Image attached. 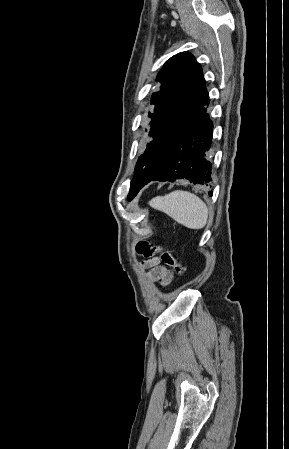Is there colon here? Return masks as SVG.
I'll list each match as a JSON object with an SVG mask.
<instances>
[{"label":"colon","instance_id":"obj_1","mask_svg":"<svg viewBox=\"0 0 289 449\" xmlns=\"http://www.w3.org/2000/svg\"><path fill=\"white\" fill-rule=\"evenodd\" d=\"M136 252L142 257H151L159 254L160 260L165 265L172 268L175 273L178 275H183L185 273L184 266L179 263L169 251L163 250L160 246H155L146 240H141L136 244Z\"/></svg>","mask_w":289,"mask_h":449}]
</instances>
